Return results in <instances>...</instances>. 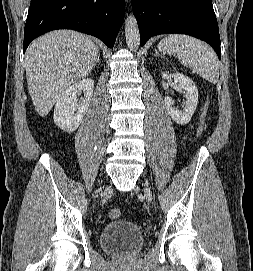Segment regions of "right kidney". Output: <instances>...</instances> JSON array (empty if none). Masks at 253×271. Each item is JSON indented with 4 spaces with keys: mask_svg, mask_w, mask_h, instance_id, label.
<instances>
[{
    "mask_svg": "<svg viewBox=\"0 0 253 271\" xmlns=\"http://www.w3.org/2000/svg\"><path fill=\"white\" fill-rule=\"evenodd\" d=\"M94 81L82 79L68 87L56 101L54 123L63 131L74 132L81 124L93 96ZM84 93V98L77 103V96Z\"/></svg>",
    "mask_w": 253,
    "mask_h": 271,
    "instance_id": "1",
    "label": "right kidney"
}]
</instances>
